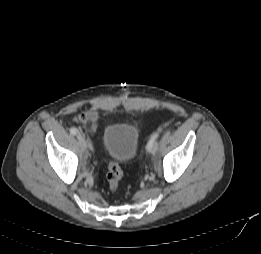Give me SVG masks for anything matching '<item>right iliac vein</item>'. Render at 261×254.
<instances>
[{
    "label": "right iliac vein",
    "mask_w": 261,
    "mask_h": 254,
    "mask_svg": "<svg viewBox=\"0 0 261 254\" xmlns=\"http://www.w3.org/2000/svg\"><path fill=\"white\" fill-rule=\"evenodd\" d=\"M77 138H78V140H79V143H80V146H81V148L83 149V150H86L87 149V147H88V142L80 135V134H78L77 135ZM90 142H89V147H90Z\"/></svg>",
    "instance_id": "1"
}]
</instances>
